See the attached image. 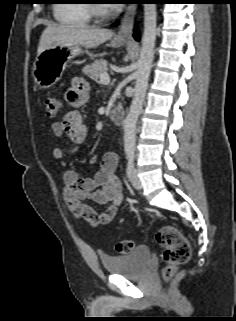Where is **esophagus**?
<instances>
[{"label":"esophagus","mask_w":236,"mask_h":321,"mask_svg":"<svg viewBox=\"0 0 236 321\" xmlns=\"http://www.w3.org/2000/svg\"><path fill=\"white\" fill-rule=\"evenodd\" d=\"M136 9L137 6L134 4L127 7L121 21L120 29L115 35L116 39L125 40L131 38Z\"/></svg>","instance_id":"obj_1"}]
</instances>
